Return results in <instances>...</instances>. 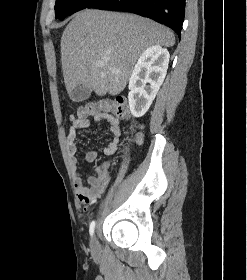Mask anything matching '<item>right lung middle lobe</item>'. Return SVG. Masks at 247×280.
Here are the masks:
<instances>
[{"label":"right lung middle lobe","instance_id":"right-lung-middle-lobe-1","mask_svg":"<svg viewBox=\"0 0 247 280\" xmlns=\"http://www.w3.org/2000/svg\"><path fill=\"white\" fill-rule=\"evenodd\" d=\"M96 1L97 0H56V19L62 20L77 11L90 7Z\"/></svg>","mask_w":247,"mask_h":280}]
</instances>
